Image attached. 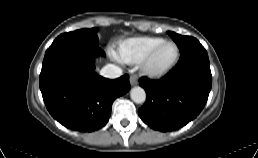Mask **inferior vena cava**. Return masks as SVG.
Masks as SVG:
<instances>
[{
    "instance_id": "inferior-vena-cava-1",
    "label": "inferior vena cava",
    "mask_w": 258,
    "mask_h": 158,
    "mask_svg": "<svg viewBox=\"0 0 258 158\" xmlns=\"http://www.w3.org/2000/svg\"><path fill=\"white\" fill-rule=\"evenodd\" d=\"M100 75L105 78L115 79L122 75V69L113 64H107L100 70Z\"/></svg>"
}]
</instances>
